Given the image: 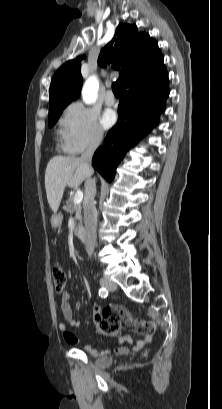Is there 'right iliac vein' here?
Returning <instances> with one entry per match:
<instances>
[{"label": "right iliac vein", "mask_w": 222, "mask_h": 409, "mask_svg": "<svg viewBox=\"0 0 222 409\" xmlns=\"http://www.w3.org/2000/svg\"><path fill=\"white\" fill-rule=\"evenodd\" d=\"M100 284H101L102 287H104V288H106V289H108L110 291H114V290L117 289L116 283L109 280V279H106V278H102L100 280Z\"/></svg>", "instance_id": "63e3f726"}]
</instances>
